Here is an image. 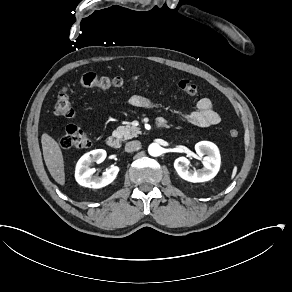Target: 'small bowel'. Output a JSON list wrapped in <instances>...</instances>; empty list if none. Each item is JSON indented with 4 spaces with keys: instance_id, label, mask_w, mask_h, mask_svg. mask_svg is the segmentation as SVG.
Returning a JSON list of instances; mask_svg holds the SVG:
<instances>
[{
    "instance_id": "obj_1",
    "label": "small bowel",
    "mask_w": 292,
    "mask_h": 292,
    "mask_svg": "<svg viewBox=\"0 0 292 292\" xmlns=\"http://www.w3.org/2000/svg\"><path fill=\"white\" fill-rule=\"evenodd\" d=\"M117 102L114 96L109 98V103ZM126 102L137 108H150L153 106L150 99L141 94H133L126 99ZM182 118L191 125L199 127H207L217 125L221 121L220 114L214 110L213 102L209 98H201L197 102L195 110L182 111Z\"/></svg>"
}]
</instances>
